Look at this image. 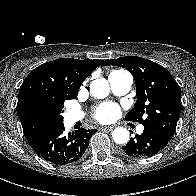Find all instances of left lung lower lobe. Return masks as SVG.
<instances>
[{
	"label": "left lung lower lobe",
	"instance_id": "obj_1",
	"mask_svg": "<svg viewBox=\"0 0 196 196\" xmlns=\"http://www.w3.org/2000/svg\"><path fill=\"white\" fill-rule=\"evenodd\" d=\"M170 141L161 131L151 125H144L141 135L131 138L122 147V153L132 158L151 157L161 151Z\"/></svg>",
	"mask_w": 196,
	"mask_h": 196
}]
</instances>
